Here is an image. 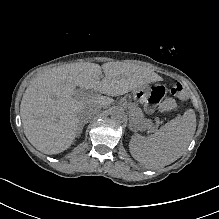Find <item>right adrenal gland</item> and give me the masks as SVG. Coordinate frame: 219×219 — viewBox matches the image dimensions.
I'll return each instance as SVG.
<instances>
[{
  "mask_svg": "<svg viewBox=\"0 0 219 219\" xmlns=\"http://www.w3.org/2000/svg\"><path fill=\"white\" fill-rule=\"evenodd\" d=\"M84 125H85L84 122H81V123L79 124V128H78V131H77V133H78L79 135H81Z\"/></svg>",
  "mask_w": 219,
  "mask_h": 219,
  "instance_id": "obj_1",
  "label": "right adrenal gland"
}]
</instances>
